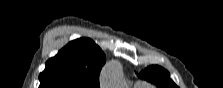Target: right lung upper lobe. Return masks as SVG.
<instances>
[{"label":"right lung upper lobe","mask_w":223,"mask_h":88,"mask_svg":"<svg viewBox=\"0 0 223 88\" xmlns=\"http://www.w3.org/2000/svg\"><path fill=\"white\" fill-rule=\"evenodd\" d=\"M105 61L104 52L92 40H74L46 62L39 88H100L99 73Z\"/></svg>","instance_id":"right-lung-upper-lobe-1"}]
</instances>
